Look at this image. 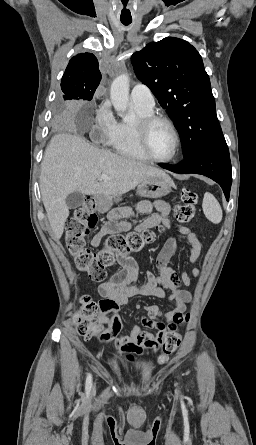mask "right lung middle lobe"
Segmentation results:
<instances>
[{
    "label": "right lung middle lobe",
    "instance_id": "1",
    "mask_svg": "<svg viewBox=\"0 0 256 445\" xmlns=\"http://www.w3.org/2000/svg\"><path fill=\"white\" fill-rule=\"evenodd\" d=\"M74 98H70V97H65L64 96V100H73Z\"/></svg>",
    "mask_w": 256,
    "mask_h": 445
}]
</instances>
